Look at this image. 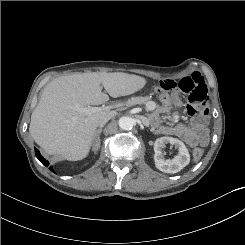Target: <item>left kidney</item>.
Instances as JSON below:
<instances>
[{
	"instance_id": "5707ae66",
	"label": "left kidney",
	"mask_w": 245,
	"mask_h": 245,
	"mask_svg": "<svg viewBox=\"0 0 245 245\" xmlns=\"http://www.w3.org/2000/svg\"><path fill=\"white\" fill-rule=\"evenodd\" d=\"M171 144L178 148V155L173 159H165L162 149L165 145ZM154 162L157 169L164 173H177L190 162V154L185 144L177 138L160 137L154 143Z\"/></svg>"
}]
</instances>
